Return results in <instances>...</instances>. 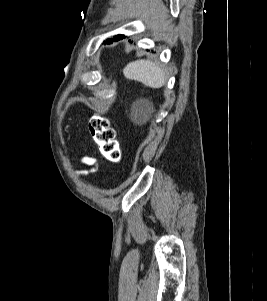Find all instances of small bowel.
Wrapping results in <instances>:
<instances>
[{"label": "small bowel", "instance_id": "small-bowel-1", "mask_svg": "<svg viewBox=\"0 0 267 301\" xmlns=\"http://www.w3.org/2000/svg\"><path fill=\"white\" fill-rule=\"evenodd\" d=\"M81 163L85 168L77 172L79 176H87L96 171L97 161L94 157L84 156L81 158Z\"/></svg>", "mask_w": 267, "mask_h": 301}]
</instances>
